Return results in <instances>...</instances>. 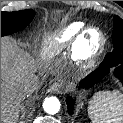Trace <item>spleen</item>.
I'll return each instance as SVG.
<instances>
[{
	"instance_id": "3e777b00",
	"label": "spleen",
	"mask_w": 123,
	"mask_h": 123,
	"mask_svg": "<svg viewBox=\"0 0 123 123\" xmlns=\"http://www.w3.org/2000/svg\"><path fill=\"white\" fill-rule=\"evenodd\" d=\"M88 113L93 123H123V94L118 90L97 93Z\"/></svg>"
}]
</instances>
